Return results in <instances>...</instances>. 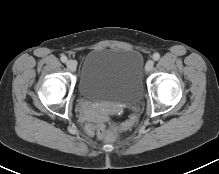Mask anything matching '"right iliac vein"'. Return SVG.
<instances>
[{"label":"right iliac vein","mask_w":219,"mask_h":174,"mask_svg":"<svg viewBox=\"0 0 219 174\" xmlns=\"http://www.w3.org/2000/svg\"><path fill=\"white\" fill-rule=\"evenodd\" d=\"M67 68L71 71L74 72L77 68V63L75 60H68L67 61Z\"/></svg>","instance_id":"1"}]
</instances>
